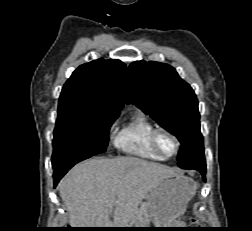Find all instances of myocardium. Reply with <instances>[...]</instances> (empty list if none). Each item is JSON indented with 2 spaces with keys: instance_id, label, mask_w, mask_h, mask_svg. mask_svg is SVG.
Returning <instances> with one entry per match:
<instances>
[{
  "instance_id": "f54148a6",
  "label": "myocardium",
  "mask_w": 252,
  "mask_h": 231,
  "mask_svg": "<svg viewBox=\"0 0 252 231\" xmlns=\"http://www.w3.org/2000/svg\"><path fill=\"white\" fill-rule=\"evenodd\" d=\"M161 134H167L169 135L174 141H175V144H176V148H175V151L170 154V155H166L162 152V150L160 149V146H159V137ZM151 145H152V148L154 149V151L160 156L162 157L163 159H170L172 157H174L175 155L178 154L180 148H181V141L180 139L178 138V136L172 132L171 130L167 129V128H164V127H157L152 135H151Z\"/></svg>"
}]
</instances>
